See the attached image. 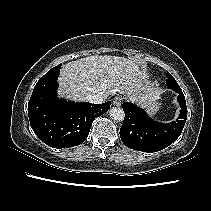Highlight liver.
<instances>
[{"instance_id": "liver-1", "label": "liver", "mask_w": 211, "mask_h": 211, "mask_svg": "<svg viewBox=\"0 0 211 211\" xmlns=\"http://www.w3.org/2000/svg\"><path fill=\"white\" fill-rule=\"evenodd\" d=\"M58 81V96L73 101H84L92 94L106 99L120 93L133 102L147 105L161 95L160 89L144 85L146 75L138 64L111 55H92L68 62L63 65Z\"/></svg>"}]
</instances>
